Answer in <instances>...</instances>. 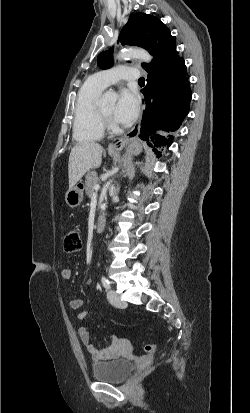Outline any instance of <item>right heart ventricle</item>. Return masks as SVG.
Here are the masks:
<instances>
[{"mask_svg":"<svg viewBox=\"0 0 250 413\" xmlns=\"http://www.w3.org/2000/svg\"><path fill=\"white\" fill-rule=\"evenodd\" d=\"M102 90L88 79L78 92L73 121V138L78 143L98 141L104 136L105 124L96 104Z\"/></svg>","mask_w":250,"mask_h":413,"instance_id":"right-heart-ventricle-1","label":"right heart ventricle"}]
</instances>
